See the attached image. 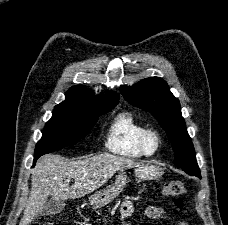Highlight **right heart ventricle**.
Wrapping results in <instances>:
<instances>
[{
	"label": "right heart ventricle",
	"instance_id": "e07e8e85",
	"mask_svg": "<svg viewBox=\"0 0 228 225\" xmlns=\"http://www.w3.org/2000/svg\"><path fill=\"white\" fill-rule=\"evenodd\" d=\"M148 127L142 124L131 112L119 113L110 123L105 147L113 154L141 158L148 154L142 146V137Z\"/></svg>",
	"mask_w": 228,
	"mask_h": 225
}]
</instances>
